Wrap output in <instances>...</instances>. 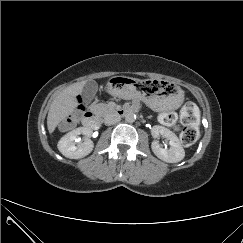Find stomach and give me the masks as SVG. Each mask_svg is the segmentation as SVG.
Here are the masks:
<instances>
[{
  "label": "stomach",
  "mask_w": 243,
  "mask_h": 243,
  "mask_svg": "<svg viewBox=\"0 0 243 243\" xmlns=\"http://www.w3.org/2000/svg\"><path fill=\"white\" fill-rule=\"evenodd\" d=\"M110 92L124 100L142 101L156 111L169 112L178 109L184 100V92L177 84L156 79L145 82L117 76L108 83Z\"/></svg>",
  "instance_id": "0dacf381"
}]
</instances>
